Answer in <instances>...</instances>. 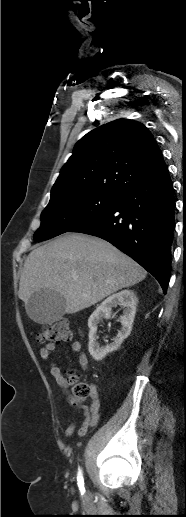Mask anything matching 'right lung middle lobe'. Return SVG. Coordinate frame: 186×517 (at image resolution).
Returning <instances> with one entry per match:
<instances>
[{
  "label": "right lung middle lobe",
  "instance_id": "dd1d6c3e",
  "mask_svg": "<svg viewBox=\"0 0 186 517\" xmlns=\"http://www.w3.org/2000/svg\"><path fill=\"white\" fill-rule=\"evenodd\" d=\"M119 197L99 193H78L50 199L41 214V226L33 238L39 242L69 232L112 207Z\"/></svg>",
  "mask_w": 186,
  "mask_h": 517
}]
</instances>
